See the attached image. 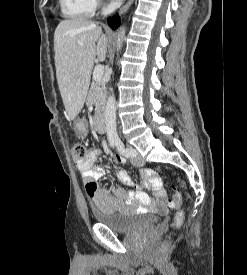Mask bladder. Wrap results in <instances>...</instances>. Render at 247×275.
<instances>
[{"label":"bladder","mask_w":247,"mask_h":275,"mask_svg":"<svg viewBox=\"0 0 247 275\" xmlns=\"http://www.w3.org/2000/svg\"><path fill=\"white\" fill-rule=\"evenodd\" d=\"M92 212L96 223L105 225L114 231L123 233L131 232L139 227L153 226L161 220V216L150 214H145L140 217L136 213H109L98 208H94Z\"/></svg>","instance_id":"bladder-1"}]
</instances>
